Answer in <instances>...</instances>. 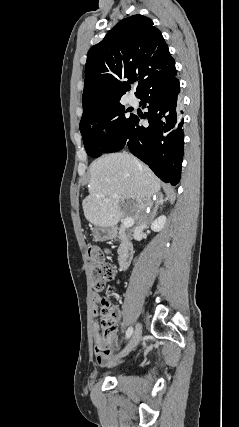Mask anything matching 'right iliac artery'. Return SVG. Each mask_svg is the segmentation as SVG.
Instances as JSON below:
<instances>
[{
  "label": "right iliac artery",
  "instance_id": "82829eb1",
  "mask_svg": "<svg viewBox=\"0 0 239 427\" xmlns=\"http://www.w3.org/2000/svg\"><path fill=\"white\" fill-rule=\"evenodd\" d=\"M132 333H133V328L132 327H129L128 329H127V331H126V338L128 339V338H130L131 337V335H132Z\"/></svg>",
  "mask_w": 239,
  "mask_h": 427
}]
</instances>
